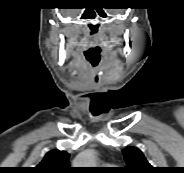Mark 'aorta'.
Listing matches in <instances>:
<instances>
[{
    "label": "aorta",
    "mask_w": 184,
    "mask_h": 173,
    "mask_svg": "<svg viewBox=\"0 0 184 173\" xmlns=\"http://www.w3.org/2000/svg\"><path fill=\"white\" fill-rule=\"evenodd\" d=\"M75 165H83L81 167H94L95 154L92 150L82 153L75 161Z\"/></svg>",
    "instance_id": "1"
}]
</instances>
